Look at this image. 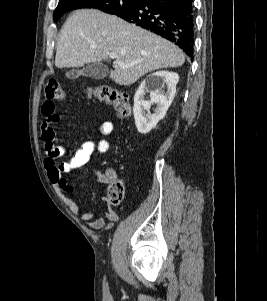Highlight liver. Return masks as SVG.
Listing matches in <instances>:
<instances>
[{
    "label": "liver",
    "mask_w": 267,
    "mask_h": 301,
    "mask_svg": "<svg viewBox=\"0 0 267 301\" xmlns=\"http://www.w3.org/2000/svg\"><path fill=\"white\" fill-rule=\"evenodd\" d=\"M116 62L110 79L119 85H131L146 73L163 68L182 66L185 55L176 45L130 24L115 15L94 9L75 11L63 25L58 41L57 68L81 67L85 64Z\"/></svg>",
    "instance_id": "liver-1"
}]
</instances>
